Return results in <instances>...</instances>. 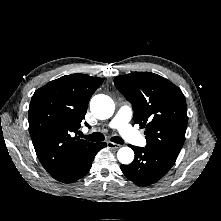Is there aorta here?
I'll use <instances>...</instances> for the list:
<instances>
[{
    "mask_svg": "<svg viewBox=\"0 0 221 221\" xmlns=\"http://www.w3.org/2000/svg\"><path fill=\"white\" fill-rule=\"evenodd\" d=\"M115 105L113 100L103 94L95 95L90 102V110L97 119H108L114 113ZM120 163L127 165L134 160V152L129 147H122L117 152Z\"/></svg>",
    "mask_w": 221,
    "mask_h": 221,
    "instance_id": "1",
    "label": "aorta"
}]
</instances>
